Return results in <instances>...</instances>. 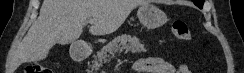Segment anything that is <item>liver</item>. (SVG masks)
Instances as JSON below:
<instances>
[{
    "label": "liver",
    "mask_w": 244,
    "mask_h": 73,
    "mask_svg": "<svg viewBox=\"0 0 244 73\" xmlns=\"http://www.w3.org/2000/svg\"><path fill=\"white\" fill-rule=\"evenodd\" d=\"M144 0H44L38 19L19 45L13 70L25 62L45 59L56 44L76 41L85 22L95 19L89 32L107 35L115 32L131 11Z\"/></svg>",
    "instance_id": "1"
}]
</instances>
